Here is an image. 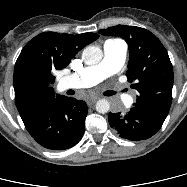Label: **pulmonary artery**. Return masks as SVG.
<instances>
[{
    "label": "pulmonary artery",
    "mask_w": 187,
    "mask_h": 187,
    "mask_svg": "<svg viewBox=\"0 0 187 187\" xmlns=\"http://www.w3.org/2000/svg\"><path fill=\"white\" fill-rule=\"evenodd\" d=\"M104 57L94 66L84 68L76 74L62 79L61 88H85L93 86L116 73L124 64L127 46L121 40H107L103 46Z\"/></svg>",
    "instance_id": "1"
}]
</instances>
